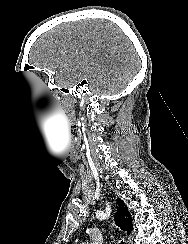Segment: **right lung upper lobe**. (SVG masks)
<instances>
[{
  "label": "right lung upper lobe",
  "mask_w": 188,
  "mask_h": 244,
  "mask_svg": "<svg viewBox=\"0 0 188 244\" xmlns=\"http://www.w3.org/2000/svg\"><path fill=\"white\" fill-rule=\"evenodd\" d=\"M117 202H118L119 208L117 209V212L115 213L116 225H118L121 228V230L127 231V235H129L132 230L131 215L128 212L127 206L124 204V202L122 200L118 199Z\"/></svg>",
  "instance_id": "1"
}]
</instances>
